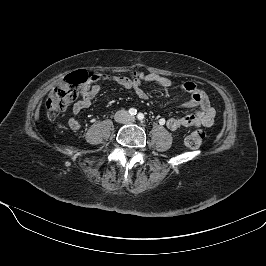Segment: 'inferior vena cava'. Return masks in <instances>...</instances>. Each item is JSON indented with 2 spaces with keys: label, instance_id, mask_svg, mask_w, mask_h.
I'll return each mask as SVG.
<instances>
[{
  "label": "inferior vena cava",
  "instance_id": "inferior-vena-cava-1",
  "mask_svg": "<svg viewBox=\"0 0 266 266\" xmlns=\"http://www.w3.org/2000/svg\"><path fill=\"white\" fill-rule=\"evenodd\" d=\"M119 115H124V116H126V120H120V121H124V122H129L130 120H131V117L128 115V113H127V111H125V110H121V111H118L117 113H116V116H119Z\"/></svg>",
  "mask_w": 266,
  "mask_h": 266
}]
</instances>
